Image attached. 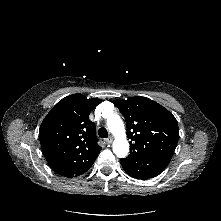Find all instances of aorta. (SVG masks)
Masks as SVG:
<instances>
[{
	"mask_svg": "<svg viewBox=\"0 0 221 221\" xmlns=\"http://www.w3.org/2000/svg\"><path fill=\"white\" fill-rule=\"evenodd\" d=\"M107 126L109 131L115 137L113 142V152L119 158H124L129 152V143L126 139L125 127L122 119L114 114L108 117Z\"/></svg>",
	"mask_w": 221,
	"mask_h": 221,
	"instance_id": "aorta-1",
	"label": "aorta"
}]
</instances>
